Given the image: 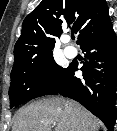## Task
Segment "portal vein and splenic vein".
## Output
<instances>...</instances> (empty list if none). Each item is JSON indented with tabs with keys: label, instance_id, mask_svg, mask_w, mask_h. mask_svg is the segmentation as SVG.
<instances>
[{
	"label": "portal vein and splenic vein",
	"instance_id": "1",
	"mask_svg": "<svg viewBox=\"0 0 117 131\" xmlns=\"http://www.w3.org/2000/svg\"><path fill=\"white\" fill-rule=\"evenodd\" d=\"M45 123H47V124H53L54 122L53 121H45Z\"/></svg>",
	"mask_w": 117,
	"mask_h": 131
}]
</instances>
